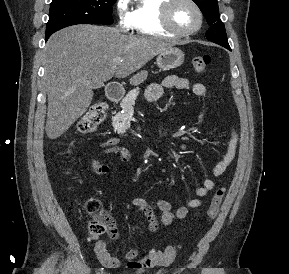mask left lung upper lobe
Segmentation results:
<instances>
[{
    "mask_svg": "<svg viewBox=\"0 0 289 274\" xmlns=\"http://www.w3.org/2000/svg\"><path fill=\"white\" fill-rule=\"evenodd\" d=\"M207 19L210 28L206 32L208 40L221 46H229L225 26L220 19L217 0H193Z\"/></svg>",
    "mask_w": 289,
    "mask_h": 274,
    "instance_id": "5c2ea615",
    "label": "left lung upper lobe"
}]
</instances>
